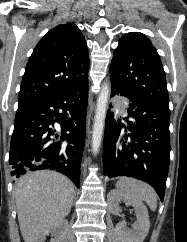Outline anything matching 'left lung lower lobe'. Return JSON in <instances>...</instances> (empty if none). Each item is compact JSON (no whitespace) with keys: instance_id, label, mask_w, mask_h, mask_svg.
<instances>
[{"instance_id":"0a47b994","label":"left lung lower lobe","mask_w":187,"mask_h":242,"mask_svg":"<svg viewBox=\"0 0 187 242\" xmlns=\"http://www.w3.org/2000/svg\"><path fill=\"white\" fill-rule=\"evenodd\" d=\"M129 98L128 116L107 111L103 173L109 178L129 176L150 184L164 199L170 163V111L137 98L112 83V96ZM111 106V105H110Z\"/></svg>"}]
</instances>
